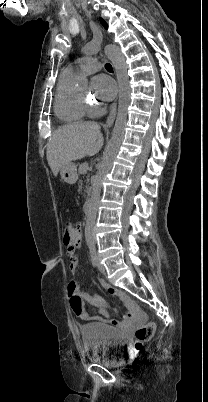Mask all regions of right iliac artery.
I'll use <instances>...</instances> for the list:
<instances>
[{"mask_svg": "<svg viewBox=\"0 0 208 402\" xmlns=\"http://www.w3.org/2000/svg\"><path fill=\"white\" fill-rule=\"evenodd\" d=\"M91 263H92L93 267H97L98 262H97V257L95 254H91Z\"/></svg>", "mask_w": 208, "mask_h": 402, "instance_id": "obj_1", "label": "right iliac artery"}]
</instances>
